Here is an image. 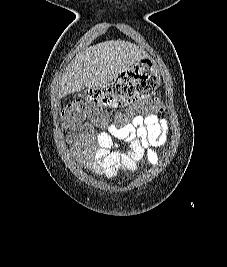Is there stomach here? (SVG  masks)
I'll list each match as a JSON object with an SVG mask.
<instances>
[{
    "label": "stomach",
    "mask_w": 227,
    "mask_h": 267,
    "mask_svg": "<svg viewBox=\"0 0 227 267\" xmlns=\"http://www.w3.org/2000/svg\"><path fill=\"white\" fill-rule=\"evenodd\" d=\"M160 75L147 57L139 58L119 73L111 77V82H104V87H91L86 91L84 104H98L103 107H126L146 101V96L157 92Z\"/></svg>",
    "instance_id": "stomach-1"
}]
</instances>
